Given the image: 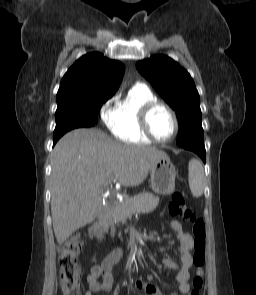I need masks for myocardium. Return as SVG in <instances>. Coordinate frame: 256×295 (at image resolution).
I'll return each mask as SVG.
<instances>
[{
	"instance_id": "myocardium-1",
	"label": "myocardium",
	"mask_w": 256,
	"mask_h": 295,
	"mask_svg": "<svg viewBox=\"0 0 256 295\" xmlns=\"http://www.w3.org/2000/svg\"><path fill=\"white\" fill-rule=\"evenodd\" d=\"M157 108H164L171 115L174 122L173 134L168 139H165V140H161L157 138L152 132V129L150 126V116L152 112ZM140 126L144 134L153 142L158 144H167L171 142L176 137L179 131V121L175 111L168 104L159 100L149 102L142 108L140 112Z\"/></svg>"
}]
</instances>
